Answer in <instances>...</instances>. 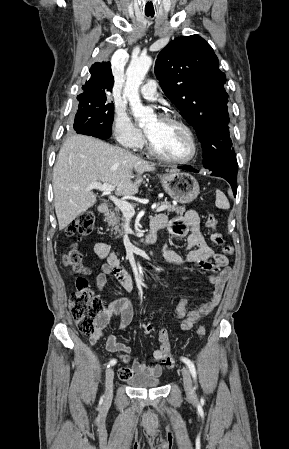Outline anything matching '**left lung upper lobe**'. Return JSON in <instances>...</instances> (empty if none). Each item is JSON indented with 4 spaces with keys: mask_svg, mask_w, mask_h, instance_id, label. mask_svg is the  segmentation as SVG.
I'll use <instances>...</instances> for the list:
<instances>
[{
    "mask_svg": "<svg viewBox=\"0 0 289 449\" xmlns=\"http://www.w3.org/2000/svg\"><path fill=\"white\" fill-rule=\"evenodd\" d=\"M155 74L166 96L196 130L206 168L217 176L237 175L226 76L211 46L198 35L176 38L159 53Z\"/></svg>",
    "mask_w": 289,
    "mask_h": 449,
    "instance_id": "left-lung-upper-lobe-1",
    "label": "left lung upper lobe"
}]
</instances>
